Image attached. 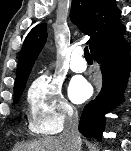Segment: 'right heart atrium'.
Segmentation results:
<instances>
[{"mask_svg":"<svg viewBox=\"0 0 131 151\" xmlns=\"http://www.w3.org/2000/svg\"><path fill=\"white\" fill-rule=\"evenodd\" d=\"M27 100L30 126L41 135L59 133L76 114L65 98L60 82L48 75H41L32 82Z\"/></svg>","mask_w":131,"mask_h":151,"instance_id":"obj_1","label":"right heart atrium"}]
</instances>
